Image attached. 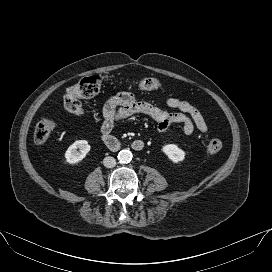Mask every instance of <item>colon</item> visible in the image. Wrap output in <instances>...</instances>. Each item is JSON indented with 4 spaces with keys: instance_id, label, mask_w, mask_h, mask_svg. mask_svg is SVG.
<instances>
[{
    "instance_id": "5ec220e1",
    "label": "colon",
    "mask_w": 272,
    "mask_h": 272,
    "mask_svg": "<svg viewBox=\"0 0 272 272\" xmlns=\"http://www.w3.org/2000/svg\"><path fill=\"white\" fill-rule=\"evenodd\" d=\"M106 81H108L107 77L92 75L81 79L75 85L69 87L63 98L65 109L70 113H82L83 106L80 100L97 95ZM123 82L130 88L140 91L161 89L163 87L162 83L155 78H146L140 81H132L125 78ZM53 129V121L49 118H43L34 129L33 138L35 143L39 145L44 144L49 139ZM222 148L223 143L220 139H212L207 144V152L211 154L218 153Z\"/></svg>"
}]
</instances>
